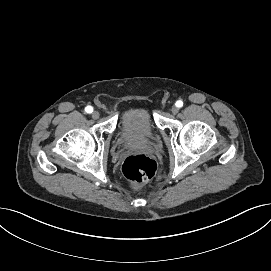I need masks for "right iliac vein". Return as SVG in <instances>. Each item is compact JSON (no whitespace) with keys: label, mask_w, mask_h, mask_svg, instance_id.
Masks as SVG:
<instances>
[{"label":"right iliac vein","mask_w":271,"mask_h":271,"mask_svg":"<svg viewBox=\"0 0 271 271\" xmlns=\"http://www.w3.org/2000/svg\"><path fill=\"white\" fill-rule=\"evenodd\" d=\"M91 116H92L93 119H98L99 116H100V114H99L98 111H93L92 114H91Z\"/></svg>","instance_id":"right-iliac-vein-1"}]
</instances>
